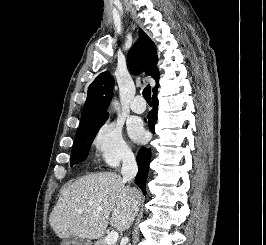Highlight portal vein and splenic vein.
I'll return each instance as SVG.
<instances>
[{
	"mask_svg": "<svg viewBox=\"0 0 266 245\" xmlns=\"http://www.w3.org/2000/svg\"><path fill=\"white\" fill-rule=\"evenodd\" d=\"M98 211H102V209H98ZM119 239V233L117 231H112V233H109L107 237L104 239L105 245H114V243H117Z\"/></svg>",
	"mask_w": 266,
	"mask_h": 245,
	"instance_id": "1",
	"label": "portal vein and splenic vein"
}]
</instances>
